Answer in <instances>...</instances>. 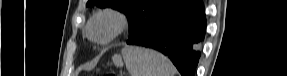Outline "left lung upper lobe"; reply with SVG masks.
Returning a JSON list of instances; mask_svg holds the SVG:
<instances>
[{
  "instance_id": "1",
  "label": "left lung upper lobe",
  "mask_w": 287,
  "mask_h": 76,
  "mask_svg": "<svg viewBox=\"0 0 287 76\" xmlns=\"http://www.w3.org/2000/svg\"><path fill=\"white\" fill-rule=\"evenodd\" d=\"M185 0H89L86 6L111 7L127 15L129 39L143 33L149 24Z\"/></svg>"
}]
</instances>
